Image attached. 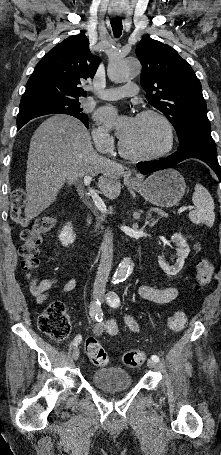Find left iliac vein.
<instances>
[{
	"mask_svg": "<svg viewBox=\"0 0 221 455\" xmlns=\"http://www.w3.org/2000/svg\"><path fill=\"white\" fill-rule=\"evenodd\" d=\"M147 366L149 368H156L157 367V363L154 360L149 359V360H147Z\"/></svg>",
	"mask_w": 221,
	"mask_h": 455,
	"instance_id": "4c4485c4",
	"label": "left iliac vein"
}]
</instances>
